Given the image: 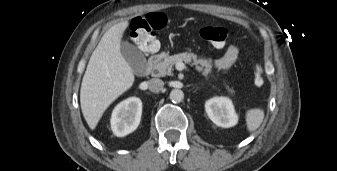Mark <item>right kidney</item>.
I'll list each match as a JSON object with an SVG mask.
<instances>
[{"label": "right kidney", "mask_w": 337, "mask_h": 171, "mask_svg": "<svg viewBox=\"0 0 337 171\" xmlns=\"http://www.w3.org/2000/svg\"><path fill=\"white\" fill-rule=\"evenodd\" d=\"M142 115V102L137 97H130L120 102L111 116V129L118 137H124L136 130Z\"/></svg>", "instance_id": "ca27d5eb"}]
</instances>
